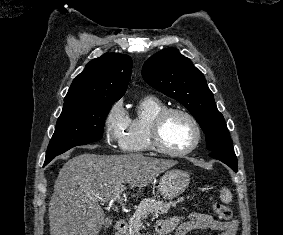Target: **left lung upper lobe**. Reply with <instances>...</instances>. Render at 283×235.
Instances as JSON below:
<instances>
[{"mask_svg": "<svg viewBox=\"0 0 283 235\" xmlns=\"http://www.w3.org/2000/svg\"><path fill=\"white\" fill-rule=\"evenodd\" d=\"M142 76L150 86L189 110L206 134L208 150L233 151L227 125L213 93L203 73L188 58L175 48L161 50L144 63Z\"/></svg>", "mask_w": 283, "mask_h": 235, "instance_id": "obj_1", "label": "left lung upper lobe"}]
</instances>
